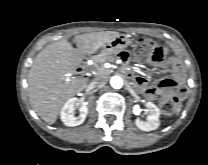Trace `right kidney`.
<instances>
[{"label": "right kidney", "instance_id": "1", "mask_svg": "<svg viewBox=\"0 0 208 165\" xmlns=\"http://www.w3.org/2000/svg\"><path fill=\"white\" fill-rule=\"evenodd\" d=\"M77 98H71L69 99L64 106L62 107L60 111V118L61 121L66 125L70 127L78 126L82 124L85 121V118L88 114V107L83 104L80 107V113L78 116L73 115V111L75 110L77 106Z\"/></svg>", "mask_w": 208, "mask_h": 165}]
</instances>
